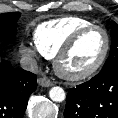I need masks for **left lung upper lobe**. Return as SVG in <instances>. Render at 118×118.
<instances>
[{
	"instance_id": "5c2ea615",
	"label": "left lung upper lobe",
	"mask_w": 118,
	"mask_h": 118,
	"mask_svg": "<svg viewBox=\"0 0 118 118\" xmlns=\"http://www.w3.org/2000/svg\"><path fill=\"white\" fill-rule=\"evenodd\" d=\"M111 37L110 54L101 71L118 66V25L114 21H111Z\"/></svg>"
}]
</instances>
